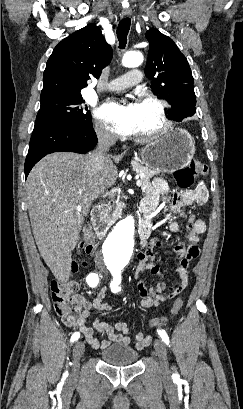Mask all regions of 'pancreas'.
<instances>
[{"instance_id": "cf45deb5", "label": "pancreas", "mask_w": 243, "mask_h": 409, "mask_svg": "<svg viewBox=\"0 0 243 409\" xmlns=\"http://www.w3.org/2000/svg\"><path fill=\"white\" fill-rule=\"evenodd\" d=\"M132 168L136 173L140 175V180L142 184H148L150 178L158 173L157 171L152 170L149 167L143 166L142 164L137 163V162L132 163ZM123 208H125V204L122 202H119L117 203L113 211H111L110 209L107 210L108 222H113L116 219H118L121 216Z\"/></svg>"}]
</instances>
